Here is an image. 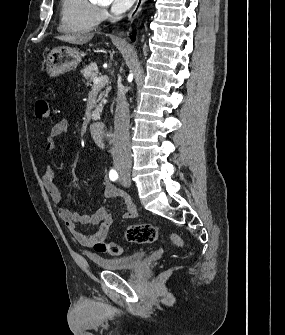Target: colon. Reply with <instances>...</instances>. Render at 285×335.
<instances>
[{"instance_id":"1","label":"colon","mask_w":285,"mask_h":335,"mask_svg":"<svg viewBox=\"0 0 285 335\" xmlns=\"http://www.w3.org/2000/svg\"><path fill=\"white\" fill-rule=\"evenodd\" d=\"M35 115L40 120H48L50 117V104L46 95H41L35 103ZM158 230L151 224H133L126 228L125 238L128 242L137 244H149L158 240ZM170 241L179 246L184 247V239L177 235L172 234ZM93 248L100 253H109L114 256H119L123 253V248L115 243H107L105 240H97Z\"/></svg>"}]
</instances>
